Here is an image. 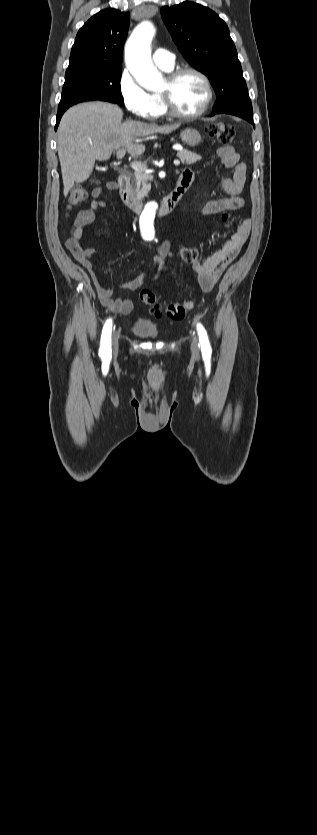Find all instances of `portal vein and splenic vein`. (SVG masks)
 Returning a JSON list of instances; mask_svg holds the SVG:
<instances>
[{
    "mask_svg": "<svg viewBox=\"0 0 317 835\" xmlns=\"http://www.w3.org/2000/svg\"><path fill=\"white\" fill-rule=\"evenodd\" d=\"M173 148L177 149V147H176V146H174ZM125 153H126V150H125L124 148L120 149V150L117 152V158H118V159H121V158L125 155ZM174 165H175V166H179V165H180V161H179V160H175V161H174ZM131 168H132V169H134V170H136V171H143V172H145V173H147V171H148L147 166H146L145 164H143V163H141V162H137V161H134V162H132V163H131Z\"/></svg>",
    "mask_w": 317,
    "mask_h": 835,
    "instance_id": "18ae733b",
    "label": "portal vein and splenic vein"
}]
</instances>
